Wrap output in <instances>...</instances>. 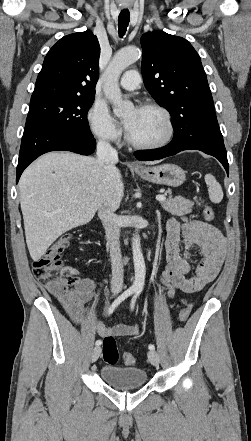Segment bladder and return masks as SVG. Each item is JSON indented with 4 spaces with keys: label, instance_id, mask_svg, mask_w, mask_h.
<instances>
[{
    "label": "bladder",
    "instance_id": "31cf9c89",
    "mask_svg": "<svg viewBox=\"0 0 251 441\" xmlns=\"http://www.w3.org/2000/svg\"><path fill=\"white\" fill-rule=\"evenodd\" d=\"M101 379L117 389L137 388L145 385L148 375L145 370L137 367H119L105 365L100 370Z\"/></svg>",
    "mask_w": 251,
    "mask_h": 441
}]
</instances>
